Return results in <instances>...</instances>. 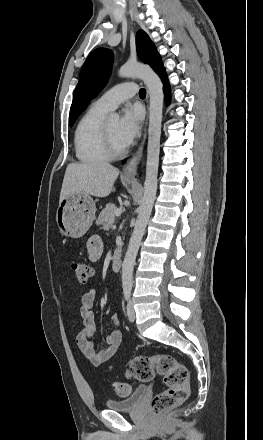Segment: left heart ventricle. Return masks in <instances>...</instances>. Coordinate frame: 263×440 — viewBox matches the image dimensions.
Wrapping results in <instances>:
<instances>
[{
  "mask_svg": "<svg viewBox=\"0 0 263 440\" xmlns=\"http://www.w3.org/2000/svg\"><path fill=\"white\" fill-rule=\"evenodd\" d=\"M107 122H108L110 137H111V140H112L114 147L119 150L125 148L126 146L121 141V139L119 137V133H118L119 120L118 119H108Z\"/></svg>",
  "mask_w": 263,
  "mask_h": 440,
  "instance_id": "left-heart-ventricle-1",
  "label": "left heart ventricle"
}]
</instances>
